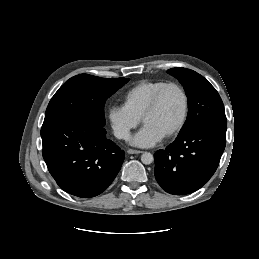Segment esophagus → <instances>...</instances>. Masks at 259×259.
Wrapping results in <instances>:
<instances>
[{
  "label": "esophagus",
  "mask_w": 259,
  "mask_h": 259,
  "mask_svg": "<svg viewBox=\"0 0 259 259\" xmlns=\"http://www.w3.org/2000/svg\"><path fill=\"white\" fill-rule=\"evenodd\" d=\"M127 152H128V154H141V153H143V151L135 150V149H128Z\"/></svg>",
  "instance_id": "esophagus-1"
}]
</instances>
